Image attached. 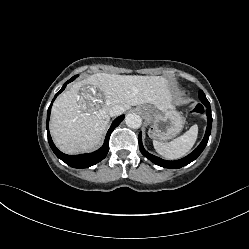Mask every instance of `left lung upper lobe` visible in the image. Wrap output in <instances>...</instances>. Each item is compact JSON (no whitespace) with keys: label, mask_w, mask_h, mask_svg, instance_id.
<instances>
[{"label":"left lung upper lobe","mask_w":249,"mask_h":249,"mask_svg":"<svg viewBox=\"0 0 249 249\" xmlns=\"http://www.w3.org/2000/svg\"><path fill=\"white\" fill-rule=\"evenodd\" d=\"M203 95H205L204 93H203V91L202 90H200L199 91V99L201 98V96H203Z\"/></svg>","instance_id":"left-lung-upper-lobe-1"}]
</instances>
